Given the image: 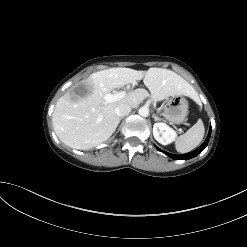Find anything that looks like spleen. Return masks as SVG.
Returning <instances> with one entry per match:
<instances>
[{
    "label": "spleen",
    "mask_w": 247,
    "mask_h": 247,
    "mask_svg": "<svg viewBox=\"0 0 247 247\" xmlns=\"http://www.w3.org/2000/svg\"><path fill=\"white\" fill-rule=\"evenodd\" d=\"M205 128L201 119L197 121L185 134L179 136L175 148L179 153H187L196 148L202 141Z\"/></svg>",
    "instance_id": "1"
}]
</instances>
